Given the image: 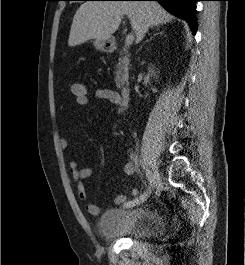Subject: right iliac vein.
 <instances>
[{
	"label": "right iliac vein",
	"instance_id": "1",
	"mask_svg": "<svg viewBox=\"0 0 245 265\" xmlns=\"http://www.w3.org/2000/svg\"><path fill=\"white\" fill-rule=\"evenodd\" d=\"M151 176H152V185L151 186L155 187L160 180L159 171L155 167L152 168Z\"/></svg>",
	"mask_w": 245,
	"mask_h": 265
}]
</instances>
